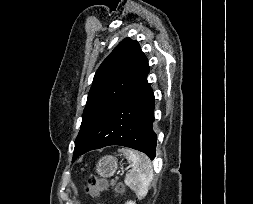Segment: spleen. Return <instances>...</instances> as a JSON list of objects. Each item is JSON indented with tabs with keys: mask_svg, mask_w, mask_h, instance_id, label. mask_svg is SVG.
I'll return each mask as SVG.
<instances>
[{
	"mask_svg": "<svg viewBox=\"0 0 253 204\" xmlns=\"http://www.w3.org/2000/svg\"><path fill=\"white\" fill-rule=\"evenodd\" d=\"M128 160L132 170L126 175L125 184L133 190L139 199H143L153 180L151 160L144 153L123 148L120 150Z\"/></svg>",
	"mask_w": 253,
	"mask_h": 204,
	"instance_id": "spleen-1",
	"label": "spleen"
}]
</instances>
